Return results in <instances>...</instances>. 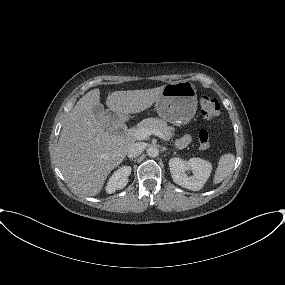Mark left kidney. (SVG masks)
<instances>
[{
  "label": "left kidney",
  "mask_w": 285,
  "mask_h": 285,
  "mask_svg": "<svg viewBox=\"0 0 285 285\" xmlns=\"http://www.w3.org/2000/svg\"><path fill=\"white\" fill-rule=\"evenodd\" d=\"M169 168L173 181L192 191L202 189L212 171L211 163L201 158H191L187 161L174 157L169 160ZM186 170H192L193 175L188 176Z\"/></svg>",
  "instance_id": "5707ae66"
}]
</instances>
